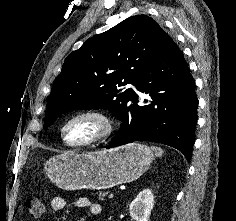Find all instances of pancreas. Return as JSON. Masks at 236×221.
Returning <instances> with one entry per match:
<instances>
[{
	"label": "pancreas",
	"instance_id": "pancreas-1",
	"mask_svg": "<svg viewBox=\"0 0 236 221\" xmlns=\"http://www.w3.org/2000/svg\"><path fill=\"white\" fill-rule=\"evenodd\" d=\"M105 195H106V192H100L99 193V199L104 200Z\"/></svg>",
	"mask_w": 236,
	"mask_h": 221
}]
</instances>
